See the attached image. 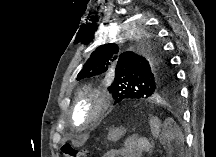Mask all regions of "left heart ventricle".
I'll list each match as a JSON object with an SVG mask.
<instances>
[{"label": "left heart ventricle", "instance_id": "obj_1", "mask_svg": "<svg viewBox=\"0 0 216 157\" xmlns=\"http://www.w3.org/2000/svg\"><path fill=\"white\" fill-rule=\"evenodd\" d=\"M89 114V108L88 107H82L79 109L76 113V121L77 123L83 122Z\"/></svg>", "mask_w": 216, "mask_h": 157}]
</instances>
